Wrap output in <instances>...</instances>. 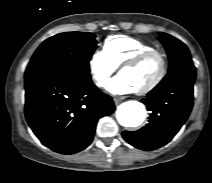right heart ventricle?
<instances>
[{
	"label": "right heart ventricle",
	"mask_w": 212,
	"mask_h": 183,
	"mask_svg": "<svg viewBox=\"0 0 212 183\" xmlns=\"http://www.w3.org/2000/svg\"><path fill=\"white\" fill-rule=\"evenodd\" d=\"M153 49L155 47L147 42L122 35L111 36L103 44V51L116 67L142 52Z\"/></svg>",
	"instance_id": "1"
}]
</instances>
